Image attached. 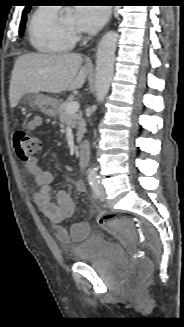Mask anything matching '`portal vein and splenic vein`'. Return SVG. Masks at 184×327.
<instances>
[{
    "mask_svg": "<svg viewBox=\"0 0 184 327\" xmlns=\"http://www.w3.org/2000/svg\"><path fill=\"white\" fill-rule=\"evenodd\" d=\"M80 108V105L77 101H71L66 106V112L68 114H74L76 113Z\"/></svg>",
    "mask_w": 184,
    "mask_h": 327,
    "instance_id": "1",
    "label": "portal vein and splenic vein"
}]
</instances>
